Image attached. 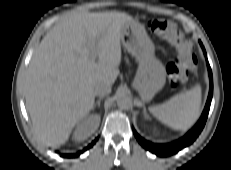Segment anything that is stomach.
Masks as SVG:
<instances>
[{
  "label": "stomach",
  "instance_id": "1",
  "mask_svg": "<svg viewBox=\"0 0 231 170\" xmlns=\"http://www.w3.org/2000/svg\"><path fill=\"white\" fill-rule=\"evenodd\" d=\"M121 41L124 48L135 57L138 62L136 88L143 98L151 89L164 84L166 71L164 66L154 56V45L147 36L142 24L131 21L122 27Z\"/></svg>",
  "mask_w": 231,
  "mask_h": 170
}]
</instances>
